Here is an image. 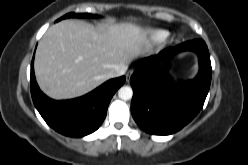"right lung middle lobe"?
<instances>
[{"label": "right lung middle lobe", "instance_id": "dd1d6c3e", "mask_svg": "<svg viewBox=\"0 0 248 165\" xmlns=\"http://www.w3.org/2000/svg\"><path fill=\"white\" fill-rule=\"evenodd\" d=\"M69 17H79V18H84V17H97V15H91L88 13H68L66 15H64L63 17H61L59 20L61 19H65V18H69Z\"/></svg>", "mask_w": 248, "mask_h": 165}]
</instances>
